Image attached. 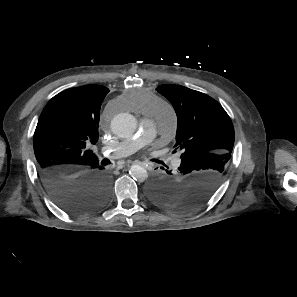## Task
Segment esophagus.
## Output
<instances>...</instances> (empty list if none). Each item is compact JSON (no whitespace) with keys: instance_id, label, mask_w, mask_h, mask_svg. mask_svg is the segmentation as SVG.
Returning a JSON list of instances; mask_svg holds the SVG:
<instances>
[{"instance_id":"obj_1","label":"esophagus","mask_w":297,"mask_h":297,"mask_svg":"<svg viewBox=\"0 0 297 297\" xmlns=\"http://www.w3.org/2000/svg\"><path fill=\"white\" fill-rule=\"evenodd\" d=\"M135 163L139 164V165H146L145 162H141V161H136Z\"/></svg>"}]
</instances>
